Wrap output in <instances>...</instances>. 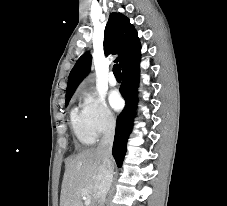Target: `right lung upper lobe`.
<instances>
[{"instance_id": "obj_1", "label": "right lung upper lobe", "mask_w": 227, "mask_h": 206, "mask_svg": "<svg viewBox=\"0 0 227 206\" xmlns=\"http://www.w3.org/2000/svg\"><path fill=\"white\" fill-rule=\"evenodd\" d=\"M140 41L129 19L120 13H111L104 31V52L119 54V62L124 70L140 59ZM92 56L84 53L70 72L66 97H71L82 79L89 73Z\"/></svg>"}]
</instances>
